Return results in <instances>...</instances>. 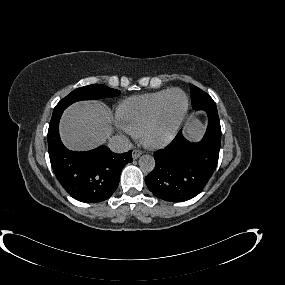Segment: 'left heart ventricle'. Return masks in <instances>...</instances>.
<instances>
[{
    "mask_svg": "<svg viewBox=\"0 0 285 285\" xmlns=\"http://www.w3.org/2000/svg\"><path fill=\"white\" fill-rule=\"evenodd\" d=\"M184 96L181 93H173L169 99L168 109L162 123L152 132L153 138L164 136L171 129L176 118L184 107Z\"/></svg>",
    "mask_w": 285,
    "mask_h": 285,
    "instance_id": "1",
    "label": "left heart ventricle"
}]
</instances>
